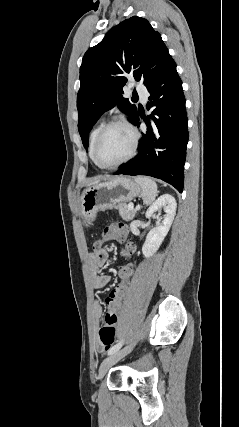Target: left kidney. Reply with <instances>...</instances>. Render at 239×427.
Instances as JSON below:
<instances>
[{"label": "left kidney", "instance_id": "1", "mask_svg": "<svg viewBox=\"0 0 239 427\" xmlns=\"http://www.w3.org/2000/svg\"><path fill=\"white\" fill-rule=\"evenodd\" d=\"M177 203L173 196L164 194L160 196L147 210L146 218H151L155 212L164 210L165 215L157 222L156 227L147 234L142 247V253L146 258L153 256L166 237L176 214Z\"/></svg>", "mask_w": 239, "mask_h": 427}]
</instances>
